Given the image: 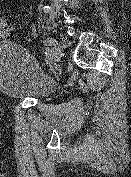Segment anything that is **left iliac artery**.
I'll return each instance as SVG.
<instances>
[{
  "mask_svg": "<svg viewBox=\"0 0 131 177\" xmlns=\"http://www.w3.org/2000/svg\"><path fill=\"white\" fill-rule=\"evenodd\" d=\"M44 46H46L45 48V59L47 63H52L53 59H52V53L50 52L49 46L54 44V41L51 39H45L43 41Z\"/></svg>",
  "mask_w": 131,
  "mask_h": 177,
  "instance_id": "1",
  "label": "left iliac artery"
}]
</instances>
